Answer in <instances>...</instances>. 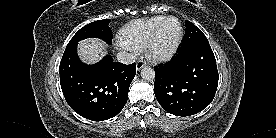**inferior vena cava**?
Returning a JSON list of instances; mask_svg holds the SVG:
<instances>
[{"label": "inferior vena cava", "mask_w": 276, "mask_h": 138, "mask_svg": "<svg viewBox=\"0 0 276 138\" xmlns=\"http://www.w3.org/2000/svg\"><path fill=\"white\" fill-rule=\"evenodd\" d=\"M117 60L118 62L122 63V64H132L136 61V56L132 53H128V52H119L117 54Z\"/></svg>", "instance_id": "1"}]
</instances>
